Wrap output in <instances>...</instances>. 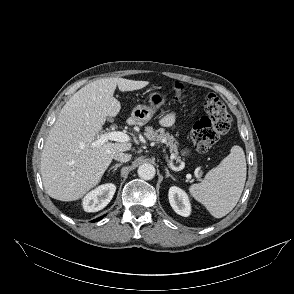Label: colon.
<instances>
[{"instance_id": "5ec220e1", "label": "colon", "mask_w": 294, "mask_h": 294, "mask_svg": "<svg viewBox=\"0 0 294 294\" xmlns=\"http://www.w3.org/2000/svg\"><path fill=\"white\" fill-rule=\"evenodd\" d=\"M182 86H176V99L180 100ZM203 107L205 115L194 125L192 141L199 152H207L221 136L231 128L232 118L225 104L215 94L204 95Z\"/></svg>"}]
</instances>
